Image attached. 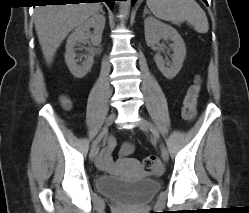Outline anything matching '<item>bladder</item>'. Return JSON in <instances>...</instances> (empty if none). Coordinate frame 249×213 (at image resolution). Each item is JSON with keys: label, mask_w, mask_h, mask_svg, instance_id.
<instances>
[{"label": "bladder", "mask_w": 249, "mask_h": 213, "mask_svg": "<svg viewBox=\"0 0 249 213\" xmlns=\"http://www.w3.org/2000/svg\"><path fill=\"white\" fill-rule=\"evenodd\" d=\"M159 188V182L148 176L133 180L115 176H102L97 179V189L100 193L133 204L149 200Z\"/></svg>", "instance_id": "bladder-1"}]
</instances>
